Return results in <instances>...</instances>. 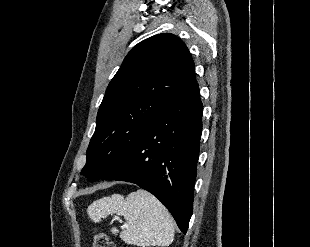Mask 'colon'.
Returning a JSON list of instances; mask_svg holds the SVG:
<instances>
[{
  "label": "colon",
  "mask_w": 310,
  "mask_h": 247,
  "mask_svg": "<svg viewBox=\"0 0 310 247\" xmlns=\"http://www.w3.org/2000/svg\"><path fill=\"white\" fill-rule=\"evenodd\" d=\"M93 247H116L107 234L96 231L93 236Z\"/></svg>",
  "instance_id": "colon-1"
}]
</instances>
